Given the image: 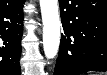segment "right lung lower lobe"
Masks as SVG:
<instances>
[{"label": "right lung lower lobe", "instance_id": "1", "mask_svg": "<svg viewBox=\"0 0 107 75\" xmlns=\"http://www.w3.org/2000/svg\"><path fill=\"white\" fill-rule=\"evenodd\" d=\"M24 0H0V75H21Z\"/></svg>", "mask_w": 107, "mask_h": 75}]
</instances>
